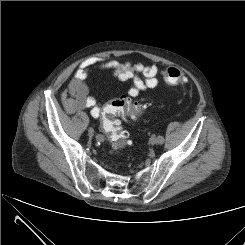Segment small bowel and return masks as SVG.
Masks as SVG:
<instances>
[{"label": "small bowel", "instance_id": "c3829d8e", "mask_svg": "<svg viewBox=\"0 0 245 245\" xmlns=\"http://www.w3.org/2000/svg\"><path fill=\"white\" fill-rule=\"evenodd\" d=\"M92 70L111 71L119 81H132L128 89L131 97L156 88L159 84L157 78L159 67L155 64L145 65L142 63H121L114 59L88 58L84 60L75 71L68 88L62 92L61 101L68 113H74L83 109H91L94 118L101 113V106L95 96L89 94L87 79Z\"/></svg>", "mask_w": 245, "mask_h": 245}]
</instances>
